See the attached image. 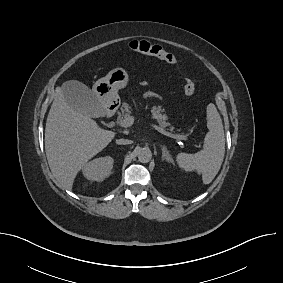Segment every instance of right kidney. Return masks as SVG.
Returning <instances> with one entry per match:
<instances>
[{
	"instance_id": "1",
	"label": "right kidney",
	"mask_w": 283,
	"mask_h": 283,
	"mask_svg": "<svg viewBox=\"0 0 283 283\" xmlns=\"http://www.w3.org/2000/svg\"><path fill=\"white\" fill-rule=\"evenodd\" d=\"M113 163L110 156L96 158L83 166V175L88 180L102 181L110 174Z\"/></svg>"
}]
</instances>
